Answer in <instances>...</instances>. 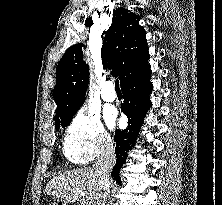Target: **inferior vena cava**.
I'll use <instances>...</instances> for the list:
<instances>
[{"label":"inferior vena cava","instance_id":"1","mask_svg":"<svg viewBox=\"0 0 222 205\" xmlns=\"http://www.w3.org/2000/svg\"><path fill=\"white\" fill-rule=\"evenodd\" d=\"M116 162L114 146L111 139H107L104 147L94 162L93 169L98 175L100 183L104 189V200L107 199L110 193V172Z\"/></svg>","mask_w":222,"mask_h":205}]
</instances>
